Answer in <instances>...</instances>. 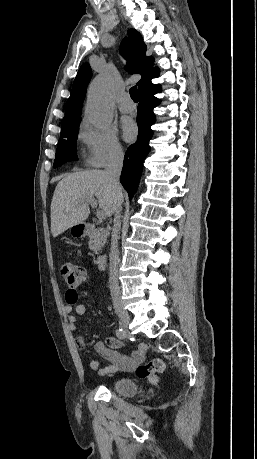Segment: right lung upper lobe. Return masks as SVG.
Listing matches in <instances>:
<instances>
[{"label": "right lung upper lobe", "instance_id": "obj_1", "mask_svg": "<svg viewBox=\"0 0 257 459\" xmlns=\"http://www.w3.org/2000/svg\"><path fill=\"white\" fill-rule=\"evenodd\" d=\"M120 51L127 59L126 68L129 72L142 76L141 80L137 83L139 91L149 84L152 78L158 76V68L152 66L154 59L145 55L146 45L143 42L142 36L136 30H128L127 37L121 43ZM91 76L92 71L89 63H84L77 73L70 97L67 100L66 115L62 120L61 133L80 124L81 107Z\"/></svg>", "mask_w": 257, "mask_h": 459}]
</instances>
